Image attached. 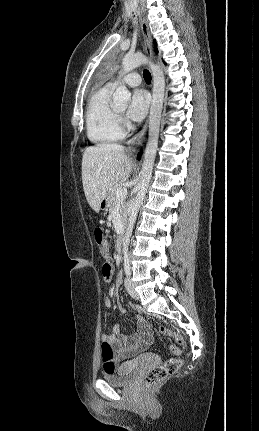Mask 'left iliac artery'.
I'll return each instance as SVG.
<instances>
[{
	"mask_svg": "<svg viewBox=\"0 0 259 431\" xmlns=\"http://www.w3.org/2000/svg\"><path fill=\"white\" fill-rule=\"evenodd\" d=\"M124 270L127 276H130V264H129V257L128 255L124 256Z\"/></svg>",
	"mask_w": 259,
	"mask_h": 431,
	"instance_id": "obj_1",
	"label": "left iliac artery"
}]
</instances>
